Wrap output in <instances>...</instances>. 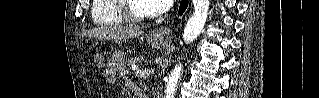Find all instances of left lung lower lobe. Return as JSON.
I'll list each match as a JSON object with an SVG mask.
<instances>
[{
	"label": "left lung lower lobe",
	"mask_w": 319,
	"mask_h": 98,
	"mask_svg": "<svg viewBox=\"0 0 319 98\" xmlns=\"http://www.w3.org/2000/svg\"><path fill=\"white\" fill-rule=\"evenodd\" d=\"M188 5V0H182L181 4H180V8H179V14H182L185 9L187 8Z\"/></svg>",
	"instance_id": "1"
}]
</instances>
